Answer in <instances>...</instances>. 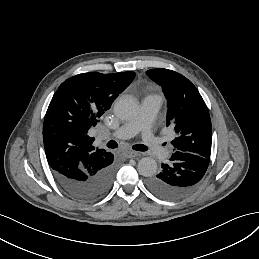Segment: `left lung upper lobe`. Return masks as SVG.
I'll return each mask as SVG.
<instances>
[{
  "label": "left lung upper lobe",
  "mask_w": 259,
  "mask_h": 259,
  "mask_svg": "<svg viewBox=\"0 0 259 259\" xmlns=\"http://www.w3.org/2000/svg\"><path fill=\"white\" fill-rule=\"evenodd\" d=\"M147 75L159 84L167 99V126L178 137L171 144L176 151L210 159L212 127L208 108L197 88L183 75L168 69H151Z\"/></svg>",
  "instance_id": "5c2ea615"
}]
</instances>
